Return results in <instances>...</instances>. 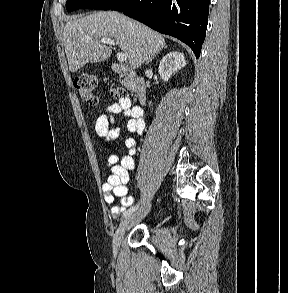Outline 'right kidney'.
Segmentation results:
<instances>
[{
    "label": "right kidney",
    "mask_w": 288,
    "mask_h": 293,
    "mask_svg": "<svg viewBox=\"0 0 288 293\" xmlns=\"http://www.w3.org/2000/svg\"><path fill=\"white\" fill-rule=\"evenodd\" d=\"M186 65L183 53L174 51L166 54L160 61L158 73L164 82H167L172 74Z\"/></svg>",
    "instance_id": "obj_1"
}]
</instances>
